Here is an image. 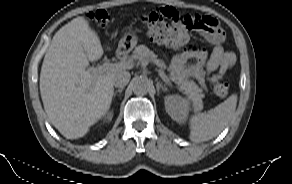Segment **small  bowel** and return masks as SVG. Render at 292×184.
Instances as JSON below:
<instances>
[{
	"mask_svg": "<svg viewBox=\"0 0 292 184\" xmlns=\"http://www.w3.org/2000/svg\"><path fill=\"white\" fill-rule=\"evenodd\" d=\"M204 18L207 24L196 30L213 45L210 56L203 48H188L176 54L171 62V68L175 74L193 77L203 88L206 86L207 79L212 81L214 75L224 76L236 61L235 54L223 48L225 33L218 21L211 16H204ZM217 70L218 73L215 74Z\"/></svg>",
	"mask_w": 292,
	"mask_h": 184,
	"instance_id": "small-bowel-1",
	"label": "small bowel"
}]
</instances>
